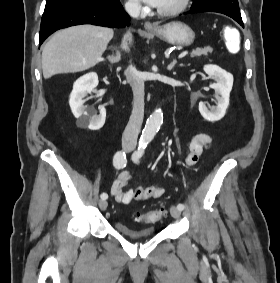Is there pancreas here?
I'll use <instances>...</instances> for the list:
<instances>
[{"label": "pancreas", "instance_id": "cf45deb5", "mask_svg": "<svg viewBox=\"0 0 280 283\" xmlns=\"http://www.w3.org/2000/svg\"><path fill=\"white\" fill-rule=\"evenodd\" d=\"M213 49L210 46L204 47V48H197L196 50H193L190 54L192 58L194 57H200L202 55L207 56L209 53H212Z\"/></svg>", "mask_w": 280, "mask_h": 283}]
</instances>
